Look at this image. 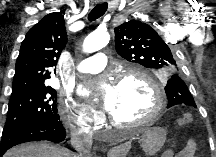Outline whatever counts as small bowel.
I'll return each mask as SVG.
<instances>
[{
  "instance_id": "small-bowel-1",
  "label": "small bowel",
  "mask_w": 216,
  "mask_h": 157,
  "mask_svg": "<svg viewBox=\"0 0 216 157\" xmlns=\"http://www.w3.org/2000/svg\"><path fill=\"white\" fill-rule=\"evenodd\" d=\"M196 151V142L192 139L188 140L178 153L177 157H193ZM166 157H172L173 152L171 150H168L165 152Z\"/></svg>"
}]
</instances>
